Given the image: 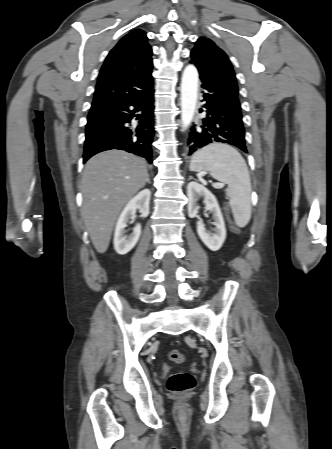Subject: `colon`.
Returning a JSON list of instances; mask_svg holds the SVG:
<instances>
[{"label": "colon", "instance_id": "1", "mask_svg": "<svg viewBox=\"0 0 332 449\" xmlns=\"http://www.w3.org/2000/svg\"><path fill=\"white\" fill-rule=\"evenodd\" d=\"M226 215L229 217V211L227 208ZM232 228L238 231L234 226ZM169 359L175 363H182L184 361V354L177 349H172L169 352ZM194 386V376L186 371H180L172 374L167 381L168 390L174 394L187 393L191 391Z\"/></svg>", "mask_w": 332, "mask_h": 449}]
</instances>
